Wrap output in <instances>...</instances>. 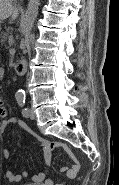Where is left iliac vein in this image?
Listing matches in <instances>:
<instances>
[{
	"mask_svg": "<svg viewBox=\"0 0 119 185\" xmlns=\"http://www.w3.org/2000/svg\"><path fill=\"white\" fill-rule=\"evenodd\" d=\"M28 117L31 118V119H35V117H36L35 112L32 108H30L28 110Z\"/></svg>",
	"mask_w": 119,
	"mask_h": 185,
	"instance_id": "obj_1",
	"label": "left iliac vein"
}]
</instances>
